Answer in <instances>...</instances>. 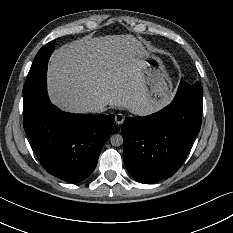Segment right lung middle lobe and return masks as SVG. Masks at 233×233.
Returning a JSON list of instances; mask_svg holds the SVG:
<instances>
[{
	"mask_svg": "<svg viewBox=\"0 0 233 233\" xmlns=\"http://www.w3.org/2000/svg\"><path fill=\"white\" fill-rule=\"evenodd\" d=\"M55 40L43 46L37 53L27 80L24 84V94L46 79L48 60L54 50Z\"/></svg>",
	"mask_w": 233,
	"mask_h": 233,
	"instance_id": "right-lung-middle-lobe-1",
	"label": "right lung middle lobe"
}]
</instances>
